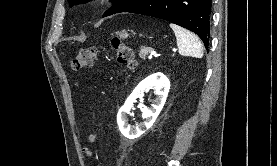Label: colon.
Returning <instances> with one entry per match:
<instances>
[{
  "label": "colon",
  "instance_id": "obj_1",
  "mask_svg": "<svg viewBox=\"0 0 277 166\" xmlns=\"http://www.w3.org/2000/svg\"><path fill=\"white\" fill-rule=\"evenodd\" d=\"M111 45L115 52L117 63L128 68L136 65L133 50L123 43L119 38H112ZM98 49L95 47L83 48L74 57L72 66L75 70H82L91 67L97 60Z\"/></svg>",
  "mask_w": 277,
  "mask_h": 166
}]
</instances>
